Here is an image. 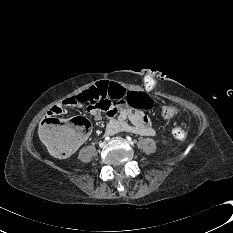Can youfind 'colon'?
<instances>
[{
  "label": "colon",
  "instance_id": "5ec220e1",
  "mask_svg": "<svg viewBox=\"0 0 233 233\" xmlns=\"http://www.w3.org/2000/svg\"><path fill=\"white\" fill-rule=\"evenodd\" d=\"M110 98L111 101L123 99L134 109L146 110L151 106L148 96L139 90H128L115 79H106L96 82L92 88L81 92L73 97L77 104L98 103L99 100ZM178 109L175 105L168 104L162 107L161 115L164 119L175 116ZM91 125L82 117H76L68 123H62L55 116L46 117L39 129L42 141L50 152L58 158H66L73 154L77 146L84 141L89 134ZM172 136L177 140H184L188 136L185 128L176 126L171 131Z\"/></svg>",
  "mask_w": 233,
  "mask_h": 233
}]
</instances>
